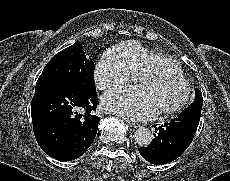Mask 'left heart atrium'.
Returning a JSON list of instances; mask_svg holds the SVG:
<instances>
[{
    "label": "left heart atrium",
    "instance_id": "obj_1",
    "mask_svg": "<svg viewBox=\"0 0 230 181\" xmlns=\"http://www.w3.org/2000/svg\"><path fill=\"white\" fill-rule=\"evenodd\" d=\"M103 104L110 112L132 120L150 119L156 114L138 87L111 91L105 95Z\"/></svg>",
    "mask_w": 230,
    "mask_h": 181
}]
</instances>
